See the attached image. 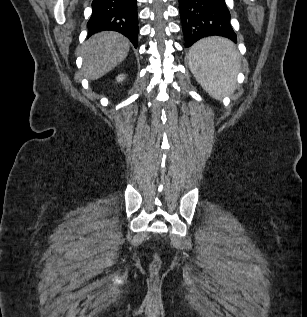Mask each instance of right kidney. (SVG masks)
<instances>
[{"label":"right kidney","mask_w":307,"mask_h":317,"mask_svg":"<svg viewBox=\"0 0 307 317\" xmlns=\"http://www.w3.org/2000/svg\"><path fill=\"white\" fill-rule=\"evenodd\" d=\"M124 78H125L124 75H119V76L117 77V81H118V82H121V81L124 80Z\"/></svg>","instance_id":"ca27d5eb"}]
</instances>
